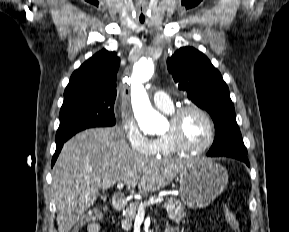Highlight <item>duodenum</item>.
<instances>
[{
	"instance_id": "obj_1",
	"label": "duodenum",
	"mask_w": 289,
	"mask_h": 232,
	"mask_svg": "<svg viewBox=\"0 0 289 232\" xmlns=\"http://www.w3.org/2000/svg\"><path fill=\"white\" fill-rule=\"evenodd\" d=\"M127 204L126 197L123 193L118 192L113 197V207L115 210H122Z\"/></svg>"
}]
</instances>
